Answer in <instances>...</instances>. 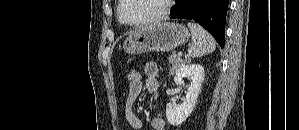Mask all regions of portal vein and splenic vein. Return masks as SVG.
<instances>
[{"label":"portal vein and splenic vein","instance_id":"1","mask_svg":"<svg viewBox=\"0 0 299 130\" xmlns=\"http://www.w3.org/2000/svg\"><path fill=\"white\" fill-rule=\"evenodd\" d=\"M178 56L181 57L182 56V52H178Z\"/></svg>","mask_w":299,"mask_h":130}]
</instances>
